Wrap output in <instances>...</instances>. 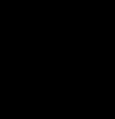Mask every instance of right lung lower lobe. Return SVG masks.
<instances>
[{
	"mask_svg": "<svg viewBox=\"0 0 115 119\" xmlns=\"http://www.w3.org/2000/svg\"><path fill=\"white\" fill-rule=\"evenodd\" d=\"M47 74L41 58L28 59L0 68V82L18 96L38 98L50 89Z\"/></svg>",
	"mask_w": 115,
	"mask_h": 119,
	"instance_id": "obj_1",
	"label": "right lung lower lobe"
}]
</instances>
